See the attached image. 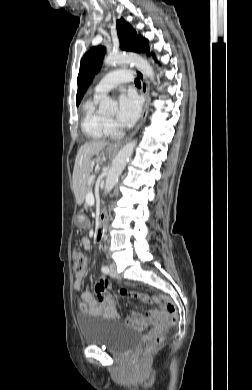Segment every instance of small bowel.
<instances>
[{
	"label": "small bowel",
	"mask_w": 252,
	"mask_h": 390,
	"mask_svg": "<svg viewBox=\"0 0 252 390\" xmlns=\"http://www.w3.org/2000/svg\"><path fill=\"white\" fill-rule=\"evenodd\" d=\"M81 244L86 250L90 249V240L86 237L82 238ZM86 270L76 273L73 282L74 290L81 291L84 286ZM108 284L106 281H101L96 286L97 297H94L91 292H82L81 301L88 307L89 312L98 317L110 319L116 322H123L127 327L139 331L148 330L149 334L162 332L166 326V317L158 309H150L144 314L133 311L132 317L121 320L114 299L106 292Z\"/></svg>",
	"instance_id": "1"
}]
</instances>
